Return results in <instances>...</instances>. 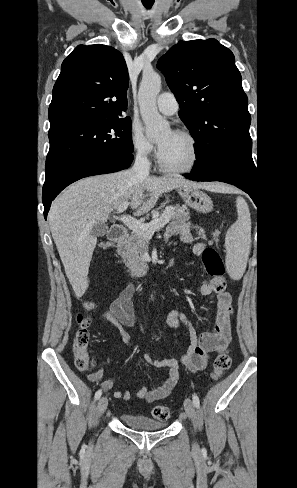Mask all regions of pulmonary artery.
<instances>
[{"instance_id": "obj_1", "label": "pulmonary artery", "mask_w": 297, "mask_h": 488, "mask_svg": "<svg viewBox=\"0 0 297 488\" xmlns=\"http://www.w3.org/2000/svg\"><path fill=\"white\" fill-rule=\"evenodd\" d=\"M157 108L162 114L171 116L178 111L179 105L173 93L164 92L157 98Z\"/></svg>"}]
</instances>
